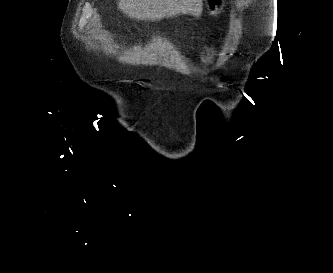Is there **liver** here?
<instances>
[{
  "label": "liver",
  "instance_id": "obj_1",
  "mask_svg": "<svg viewBox=\"0 0 333 273\" xmlns=\"http://www.w3.org/2000/svg\"><path fill=\"white\" fill-rule=\"evenodd\" d=\"M118 9L130 18L161 20L179 14L200 16L203 0H120Z\"/></svg>",
  "mask_w": 333,
  "mask_h": 273
}]
</instances>
